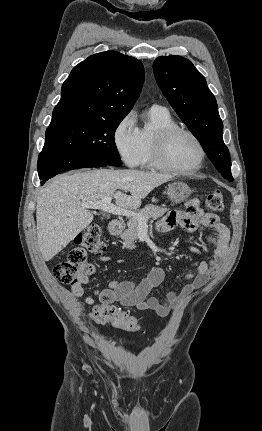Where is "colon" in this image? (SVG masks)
Wrapping results in <instances>:
<instances>
[{
    "mask_svg": "<svg viewBox=\"0 0 262 431\" xmlns=\"http://www.w3.org/2000/svg\"><path fill=\"white\" fill-rule=\"evenodd\" d=\"M205 205L210 213L218 214L224 210V198L221 191H210L205 200ZM189 213L194 214L195 208L190 207ZM105 245L100 238V228L97 224H91L84 233L75 239L65 259L54 268L56 278L69 287H77L82 284L94 272V266L87 261L85 251L101 255L105 252ZM99 323L109 322L113 327L129 332L139 330V325L134 317L127 313L110 310L108 314H94Z\"/></svg>",
    "mask_w": 262,
    "mask_h": 431,
    "instance_id": "colon-1",
    "label": "colon"
}]
</instances>
